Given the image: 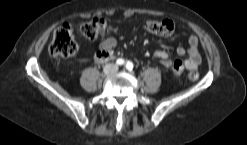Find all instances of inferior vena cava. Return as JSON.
Returning <instances> with one entry per match:
<instances>
[{"label":"inferior vena cava","mask_w":247,"mask_h":145,"mask_svg":"<svg viewBox=\"0 0 247 145\" xmlns=\"http://www.w3.org/2000/svg\"><path fill=\"white\" fill-rule=\"evenodd\" d=\"M117 69H118L117 65L112 63L106 64L104 67V71L106 73H114L115 71H117Z\"/></svg>","instance_id":"1"}]
</instances>
